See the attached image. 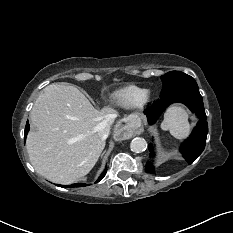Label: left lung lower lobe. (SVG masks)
Masks as SVG:
<instances>
[{"label":"left lung lower lobe","mask_w":233,"mask_h":233,"mask_svg":"<svg viewBox=\"0 0 233 233\" xmlns=\"http://www.w3.org/2000/svg\"><path fill=\"white\" fill-rule=\"evenodd\" d=\"M180 102L185 104L192 112H194L199 121L193 129L190 137L182 144L180 151L185 160L192 164L196 158L203 152L208 133L207 117L203 105V99L199 92L198 86H185L178 88L169 94L161 97V99L148 107L145 113L150 125L155 123L161 113L172 103ZM151 155H154L153 146L149 145ZM145 171L155 173L152 163L148 162Z\"/></svg>","instance_id":"obj_1"}]
</instances>
